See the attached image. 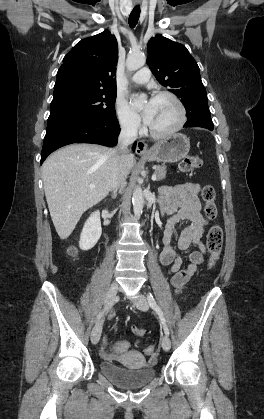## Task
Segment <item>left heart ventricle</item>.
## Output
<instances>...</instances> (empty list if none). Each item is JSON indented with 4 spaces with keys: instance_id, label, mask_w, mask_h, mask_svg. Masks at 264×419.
Returning <instances> with one entry per match:
<instances>
[{
    "instance_id": "obj_1",
    "label": "left heart ventricle",
    "mask_w": 264,
    "mask_h": 419,
    "mask_svg": "<svg viewBox=\"0 0 264 419\" xmlns=\"http://www.w3.org/2000/svg\"><path fill=\"white\" fill-rule=\"evenodd\" d=\"M178 120V110L172 100L166 97L154 98L153 130L163 132L173 127Z\"/></svg>"
}]
</instances>
